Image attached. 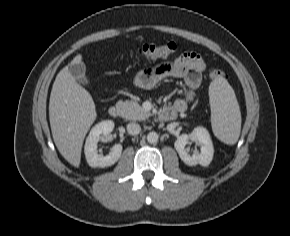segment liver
<instances>
[{
	"instance_id": "6515ba94",
	"label": "liver",
	"mask_w": 290,
	"mask_h": 236,
	"mask_svg": "<svg viewBox=\"0 0 290 236\" xmlns=\"http://www.w3.org/2000/svg\"><path fill=\"white\" fill-rule=\"evenodd\" d=\"M82 62L78 54L56 76L49 102V120L55 145L74 167H79L84 138L97 117L92 96L69 71Z\"/></svg>"
}]
</instances>
